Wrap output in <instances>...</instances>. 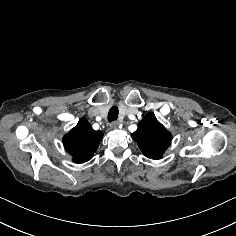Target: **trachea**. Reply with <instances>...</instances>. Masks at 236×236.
Wrapping results in <instances>:
<instances>
[{"instance_id": "3493384b", "label": "trachea", "mask_w": 236, "mask_h": 236, "mask_svg": "<svg viewBox=\"0 0 236 236\" xmlns=\"http://www.w3.org/2000/svg\"><path fill=\"white\" fill-rule=\"evenodd\" d=\"M119 110L117 106H113L110 108L108 112V122L116 121L118 118Z\"/></svg>"}]
</instances>
